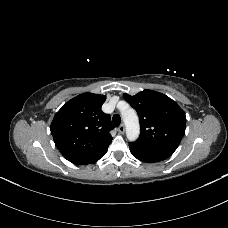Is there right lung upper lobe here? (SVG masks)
<instances>
[{"mask_svg":"<svg viewBox=\"0 0 228 228\" xmlns=\"http://www.w3.org/2000/svg\"><path fill=\"white\" fill-rule=\"evenodd\" d=\"M105 100L104 95L83 93L56 113L50 130L56 147L67 160L92 154L111 143V118L101 110Z\"/></svg>","mask_w":228,"mask_h":228,"instance_id":"cb5924a9","label":"right lung upper lobe"}]
</instances>
